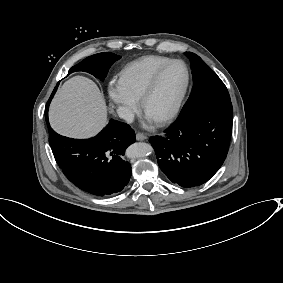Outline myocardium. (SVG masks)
Returning a JSON list of instances; mask_svg holds the SVG:
<instances>
[{
    "mask_svg": "<svg viewBox=\"0 0 283 283\" xmlns=\"http://www.w3.org/2000/svg\"><path fill=\"white\" fill-rule=\"evenodd\" d=\"M181 64L183 65L185 72H186V80H185V84L184 87L181 91V93L179 94L173 108L165 115H163L162 117L156 119V121L158 123H164V122H168L170 120H172L180 111L183 101L185 99V96L188 92L189 86H190V81H191V73H190V69L188 67V65L183 61V60H178V59H174L171 60L167 63H165L164 65H162L161 67H159L157 70H155L153 72V74L150 76V78L148 79L146 86L144 88L143 93L140 96L139 99V104L141 107V110L143 111L144 106L146 104V102L148 101V99L151 97V95L154 92V89L156 87V84L159 80V78L161 77V75L173 64Z\"/></svg>",
    "mask_w": 283,
    "mask_h": 283,
    "instance_id": "f54148a6",
    "label": "myocardium"
}]
</instances>
